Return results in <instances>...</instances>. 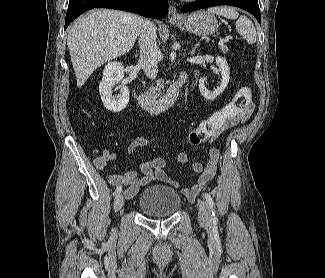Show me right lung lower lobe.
Listing matches in <instances>:
<instances>
[{"label": "right lung lower lobe", "instance_id": "right-lung-lower-lobe-1", "mask_svg": "<svg viewBox=\"0 0 325 278\" xmlns=\"http://www.w3.org/2000/svg\"><path fill=\"white\" fill-rule=\"evenodd\" d=\"M92 8H113L162 20L168 14L166 0H69L65 29L80 14Z\"/></svg>", "mask_w": 325, "mask_h": 278}]
</instances>
